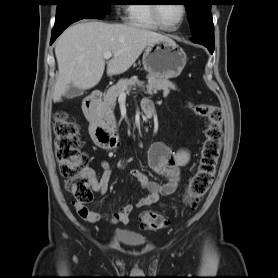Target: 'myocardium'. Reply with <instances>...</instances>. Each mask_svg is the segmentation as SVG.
Masks as SVG:
<instances>
[{"instance_id": "f54148a6", "label": "myocardium", "mask_w": 278, "mask_h": 278, "mask_svg": "<svg viewBox=\"0 0 278 278\" xmlns=\"http://www.w3.org/2000/svg\"><path fill=\"white\" fill-rule=\"evenodd\" d=\"M181 7H182V16H181V19L180 21L174 25V26H169V25H166L161 19H160V16H159V5L157 4H153L151 5V15H152V18L154 20V22L162 29L164 30H168V31H174V30H177L182 24L183 22L185 21V18L187 16V6L185 4H181Z\"/></svg>"}]
</instances>
